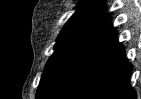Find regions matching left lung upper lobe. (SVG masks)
I'll use <instances>...</instances> for the list:
<instances>
[{
	"mask_svg": "<svg viewBox=\"0 0 141 99\" xmlns=\"http://www.w3.org/2000/svg\"><path fill=\"white\" fill-rule=\"evenodd\" d=\"M107 18L106 5L102 1L82 0L78 3L77 11L60 32L54 46V54L46 64L45 73L36 92L37 98L54 83L73 55L105 23Z\"/></svg>",
	"mask_w": 141,
	"mask_h": 99,
	"instance_id": "1",
	"label": "left lung upper lobe"
}]
</instances>
